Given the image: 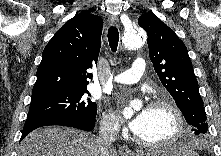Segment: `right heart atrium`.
Listing matches in <instances>:
<instances>
[{
    "instance_id": "1",
    "label": "right heart atrium",
    "mask_w": 221,
    "mask_h": 156,
    "mask_svg": "<svg viewBox=\"0 0 221 156\" xmlns=\"http://www.w3.org/2000/svg\"><path fill=\"white\" fill-rule=\"evenodd\" d=\"M100 127L102 132L107 135H115L121 130L118 119L110 112H105L102 114Z\"/></svg>"
}]
</instances>
